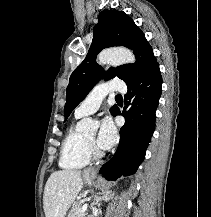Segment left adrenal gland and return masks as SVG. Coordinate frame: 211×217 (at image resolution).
<instances>
[{
	"label": "left adrenal gland",
	"instance_id": "a2214340",
	"mask_svg": "<svg viewBox=\"0 0 211 217\" xmlns=\"http://www.w3.org/2000/svg\"><path fill=\"white\" fill-rule=\"evenodd\" d=\"M99 194H101L102 196H98ZM113 195H114V193H112V191L97 193V195H95V199H94V202L92 204V208H94V205H100L99 202L101 200H109Z\"/></svg>",
	"mask_w": 211,
	"mask_h": 217
}]
</instances>
